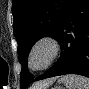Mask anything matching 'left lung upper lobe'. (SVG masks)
Returning a JSON list of instances; mask_svg holds the SVG:
<instances>
[{"label":"left lung upper lobe","mask_w":89,"mask_h":89,"mask_svg":"<svg viewBox=\"0 0 89 89\" xmlns=\"http://www.w3.org/2000/svg\"><path fill=\"white\" fill-rule=\"evenodd\" d=\"M71 0H13V30L22 64L20 89L32 82L27 58L33 44L44 36L56 39Z\"/></svg>","instance_id":"left-lung-upper-lobe-1"}]
</instances>
